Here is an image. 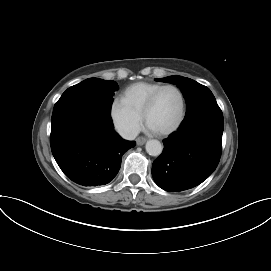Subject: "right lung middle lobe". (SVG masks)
I'll return each mask as SVG.
<instances>
[{"label": "right lung middle lobe", "instance_id": "dd1d6c3e", "mask_svg": "<svg viewBox=\"0 0 271 271\" xmlns=\"http://www.w3.org/2000/svg\"><path fill=\"white\" fill-rule=\"evenodd\" d=\"M118 90L115 81L89 78L68 88L56 102L53 115L60 112L92 105H103L111 109L114 92Z\"/></svg>", "mask_w": 271, "mask_h": 271}]
</instances>
